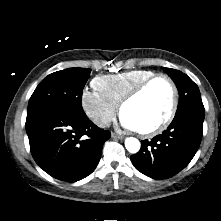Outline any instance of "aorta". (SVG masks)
I'll use <instances>...</instances> for the list:
<instances>
[{
	"label": "aorta",
	"mask_w": 221,
	"mask_h": 221,
	"mask_svg": "<svg viewBox=\"0 0 221 221\" xmlns=\"http://www.w3.org/2000/svg\"><path fill=\"white\" fill-rule=\"evenodd\" d=\"M140 146L139 140L134 137H128L125 140V147L130 153H137L140 150Z\"/></svg>",
	"instance_id": "762f6f07"
}]
</instances>
